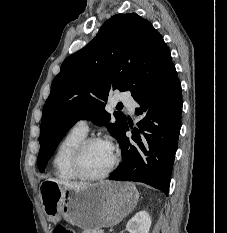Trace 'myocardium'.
Returning a JSON list of instances; mask_svg holds the SVG:
<instances>
[{
	"label": "myocardium",
	"instance_id": "obj_1",
	"mask_svg": "<svg viewBox=\"0 0 227 233\" xmlns=\"http://www.w3.org/2000/svg\"><path fill=\"white\" fill-rule=\"evenodd\" d=\"M104 142L111 146L113 157L112 162L109 167L100 174H89L84 171L82 167V158L86 151V149L93 143ZM119 162V156L115 149V147L106 139L97 136H91L84 138L74 149L72 157H71V168L73 173L77 176V178L88 180V181H97L102 180L108 177L113 170L116 168Z\"/></svg>",
	"mask_w": 227,
	"mask_h": 233
}]
</instances>
